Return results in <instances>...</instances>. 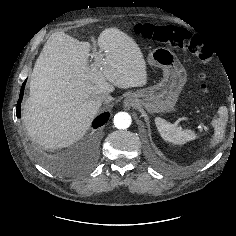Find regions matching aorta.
I'll return each instance as SVG.
<instances>
[{
	"label": "aorta",
	"mask_w": 236,
	"mask_h": 236,
	"mask_svg": "<svg viewBox=\"0 0 236 236\" xmlns=\"http://www.w3.org/2000/svg\"><path fill=\"white\" fill-rule=\"evenodd\" d=\"M113 122L116 128L124 130L131 125V116L127 112H118Z\"/></svg>",
	"instance_id": "762f6f07"
}]
</instances>
